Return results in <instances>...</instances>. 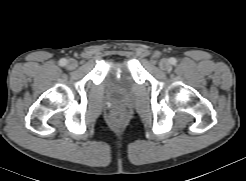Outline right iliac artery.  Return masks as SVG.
<instances>
[{
	"instance_id": "right-iliac-artery-1",
	"label": "right iliac artery",
	"mask_w": 246,
	"mask_h": 181,
	"mask_svg": "<svg viewBox=\"0 0 246 181\" xmlns=\"http://www.w3.org/2000/svg\"><path fill=\"white\" fill-rule=\"evenodd\" d=\"M67 64V60L66 59H61L60 61H59V65L60 66H65Z\"/></svg>"
}]
</instances>
